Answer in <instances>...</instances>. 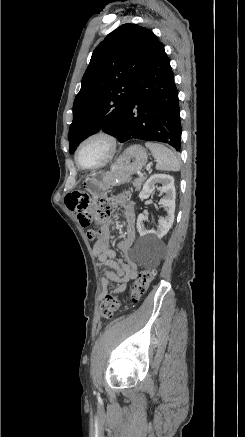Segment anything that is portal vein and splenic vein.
<instances>
[{"instance_id": "obj_1", "label": "portal vein and splenic vein", "mask_w": 245, "mask_h": 437, "mask_svg": "<svg viewBox=\"0 0 245 437\" xmlns=\"http://www.w3.org/2000/svg\"><path fill=\"white\" fill-rule=\"evenodd\" d=\"M151 165H152V164H148V165H147V167H146V168H147V170H150V168H151ZM139 176H143V174H142V173H139Z\"/></svg>"}]
</instances>
